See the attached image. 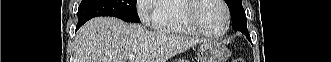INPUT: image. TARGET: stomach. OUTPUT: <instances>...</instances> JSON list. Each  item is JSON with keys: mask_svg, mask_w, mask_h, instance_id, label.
<instances>
[{"mask_svg": "<svg viewBox=\"0 0 331 62\" xmlns=\"http://www.w3.org/2000/svg\"><path fill=\"white\" fill-rule=\"evenodd\" d=\"M198 62H226L229 50L216 41L203 42L197 50ZM175 62H189L178 60Z\"/></svg>", "mask_w": 331, "mask_h": 62, "instance_id": "1", "label": "stomach"}]
</instances>
